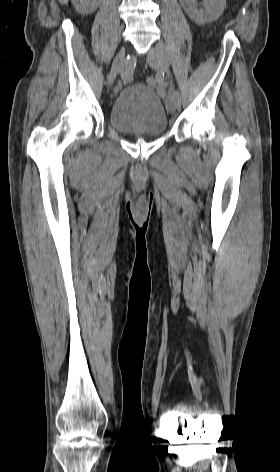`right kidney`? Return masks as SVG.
<instances>
[{
	"mask_svg": "<svg viewBox=\"0 0 280 472\" xmlns=\"http://www.w3.org/2000/svg\"><path fill=\"white\" fill-rule=\"evenodd\" d=\"M101 0H74L76 9L82 14L93 13L100 5Z\"/></svg>",
	"mask_w": 280,
	"mask_h": 472,
	"instance_id": "right-kidney-1",
	"label": "right kidney"
}]
</instances>
